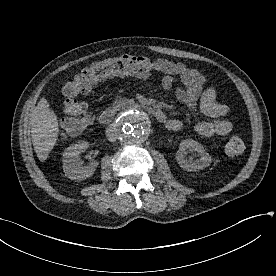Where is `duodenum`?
<instances>
[{
    "label": "duodenum",
    "instance_id": "obj_1",
    "mask_svg": "<svg viewBox=\"0 0 276 276\" xmlns=\"http://www.w3.org/2000/svg\"><path fill=\"white\" fill-rule=\"evenodd\" d=\"M133 108L144 110L159 122L165 123L167 121L166 115L162 109L155 105H144V104H135ZM118 113V109L115 107H109L103 110L99 115V122L103 125H108L114 121L116 115Z\"/></svg>",
    "mask_w": 276,
    "mask_h": 276
}]
</instances>
